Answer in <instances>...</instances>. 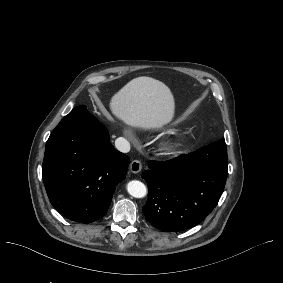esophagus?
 Masks as SVG:
<instances>
[{
	"label": "esophagus",
	"instance_id": "34e87169",
	"mask_svg": "<svg viewBox=\"0 0 283 283\" xmlns=\"http://www.w3.org/2000/svg\"><path fill=\"white\" fill-rule=\"evenodd\" d=\"M130 170L132 173L136 174L142 170V163L139 160H134L130 164Z\"/></svg>",
	"mask_w": 283,
	"mask_h": 283
}]
</instances>
